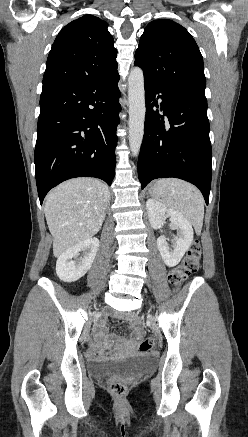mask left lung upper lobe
<instances>
[{
	"instance_id": "left-lung-upper-lobe-1",
	"label": "left lung upper lobe",
	"mask_w": 248,
	"mask_h": 437,
	"mask_svg": "<svg viewBox=\"0 0 248 437\" xmlns=\"http://www.w3.org/2000/svg\"><path fill=\"white\" fill-rule=\"evenodd\" d=\"M144 79L166 91L205 98L203 58L190 33L171 20L149 23L135 52Z\"/></svg>"
}]
</instances>
